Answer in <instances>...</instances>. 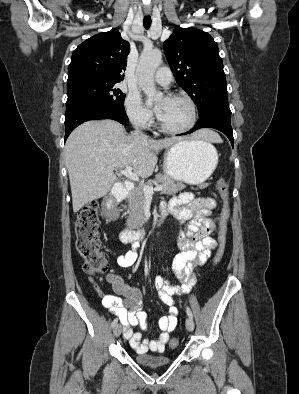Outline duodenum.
<instances>
[{
  "label": "duodenum",
  "instance_id": "obj_1",
  "mask_svg": "<svg viewBox=\"0 0 299 394\" xmlns=\"http://www.w3.org/2000/svg\"><path fill=\"white\" fill-rule=\"evenodd\" d=\"M134 189V185L132 183H128L126 185V190L128 192L132 191ZM125 198V195L122 193H115V194H110L104 199L103 203V210L104 214L108 218H113L115 214V204L117 202L122 201ZM165 217V211L163 210L161 212L160 218L158 221H161ZM145 231L143 229L140 230H133V229H123L120 233L121 240L123 242H134L138 241L144 238L145 236Z\"/></svg>",
  "mask_w": 299,
  "mask_h": 394
}]
</instances>
